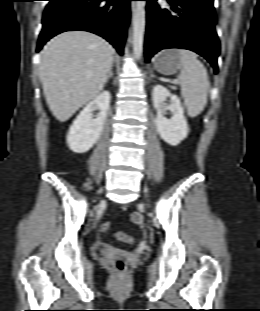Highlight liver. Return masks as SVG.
<instances>
[{"label": "liver", "instance_id": "liver-1", "mask_svg": "<svg viewBox=\"0 0 260 311\" xmlns=\"http://www.w3.org/2000/svg\"><path fill=\"white\" fill-rule=\"evenodd\" d=\"M112 61V46L93 33L68 31L49 41L41 52L39 75L58 121H67L99 94Z\"/></svg>", "mask_w": 260, "mask_h": 311}]
</instances>
